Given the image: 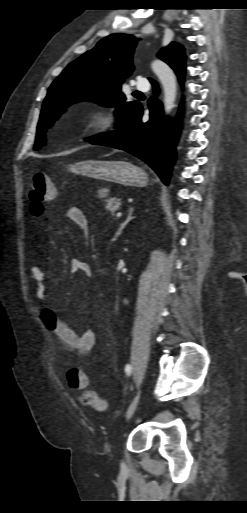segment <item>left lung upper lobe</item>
<instances>
[{
	"instance_id": "1",
	"label": "left lung upper lobe",
	"mask_w": 247,
	"mask_h": 513,
	"mask_svg": "<svg viewBox=\"0 0 247 513\" xmlns=\"http://www.w3.org/2000/svg\"><path fill=\"white\" fill-rule=\"evenodd\" d=\"M136 42L137 39L129 34H111L63 70L49 87L44 100L35 150L44 145L46 129L73 103L86 100L114 106L120 122L134 110L139 102H128L120 90L133 71L132 55ZM158 56L173 70L186 59L183 46L176 42L164 48ZM150 81L155 83L152 79Z\"/></svg>"
}]
</instances>
